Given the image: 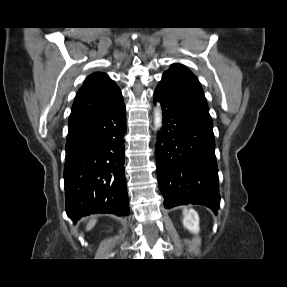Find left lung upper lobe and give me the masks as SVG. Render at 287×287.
Returning a JSON list of instances; mask_svg holds the SVG:
<instances>
[{
    "label": "left lung upper lobe",
    "instance_id": "left-lung-upper-lobe-1",
    "mask_svg": "<svg viewBox=\"0 0 287 287\" xmlns=\"http://www.w3.org/2000/svg\"><path fill=\"white\" fill-rule=\"evenodd\" d=\"M158 86L187 110L212 125L207 101L197 77L181 64H173L165 71Z\"/></svg>",
    "mask_w": 287,
    "mask_h": 287
}]
</instances>
